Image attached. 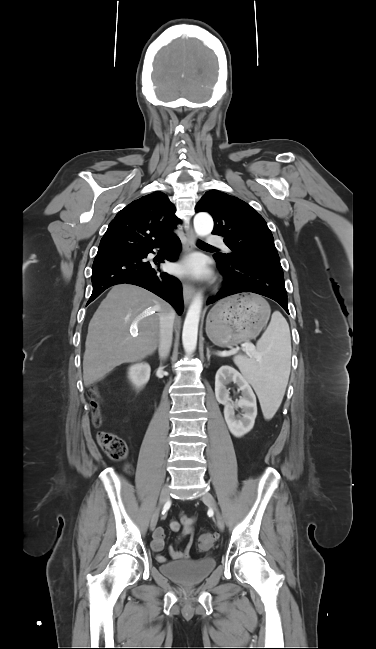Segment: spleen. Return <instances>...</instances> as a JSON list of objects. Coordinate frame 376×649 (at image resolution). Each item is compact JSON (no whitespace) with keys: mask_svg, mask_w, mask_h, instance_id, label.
<instances>
[{"mask_svg":"<svg viewBox=\"0 0 376 649\" xmlns=\"http://www.w3.org/2000/svg\"><path fill=\"white\" fill-rule=\"evenodd\" d=\"M258 359L234 357L244 377L256 391L266 419L278 410L290 375L291 338L289 325L279 311L257 342Z\"/></svg>","mask_w":376,"mask_h":649,"instance_id":"3e777b00","label":"spleen"}]
</instances>
